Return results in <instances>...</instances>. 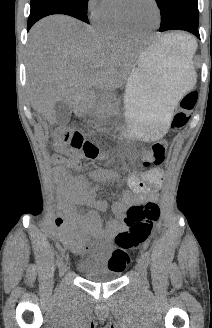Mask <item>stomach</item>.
Wrapping results in <instances>:
<instances>
[{"instance_id":"obj_1","label":"stomach","mask_w":212,"mask_h":328,"mask_svg":"<svg viewBox=\"0 0 212 328\" xmlns=\"http://www.w3.org/2000/svg\"><path fill=\"white\" fill-rule=\"evenodd\" d=\"M196 83L192 56L157 40L143 51L126 83L124 108L128 130L143 140L166 133L178 100Z\"/></svg>"}]
</instances>
